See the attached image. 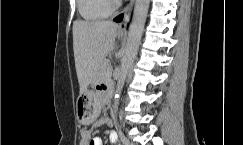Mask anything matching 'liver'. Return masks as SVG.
<instances>
[{"label": "liver", "mask_w": 243, "mask_h": 145, "mask_svg": "<svg viewBox=\"0 0 243 145\" xmlns=\"http://www.w3.org/2000/svg\"><path fill=\"white\" fill-rule=\"evenodd\" d=\"M119 26L112 21L73 23V49L80 93L97 76L101 63L113 49Z\"/></svg>", "instance_id": "liver-1"}]
</instances>
